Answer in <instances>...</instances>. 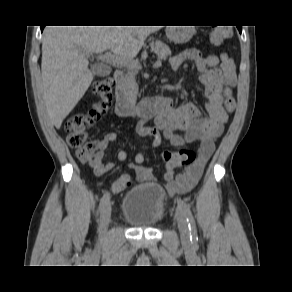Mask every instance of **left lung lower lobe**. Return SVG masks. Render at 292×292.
I'll return each mask as SVG.
<instances>
[{
    "label": "left lung lower lobe",
    "mask_w": 292,
    "mask_h": 292,
    "mask_svg": "<svg viewBox=\"0 0 292 292\" xmlns=\"http://www.w3.org/2000/svg\"><path fill=\"white\" fill-rule=\"evenodd\" d=\"M238 30H239V32L241 33V31H242V27L239 26V27H238Z\"/></svg>",
    "instance_id": "obj_1"
}]
</instances>
